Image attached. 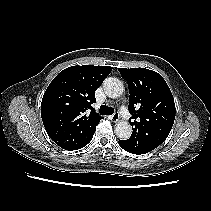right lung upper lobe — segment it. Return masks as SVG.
<instances>
[{
  "instance_id": "right-lung-upper-lobe-1",
  "label": "right lung upper lobe",
  "mask_w": 211,
  "mask_h": 211,
  "mask_svg": "<svg viewBox=\"0 0 211 211\" xmlns=\"http://www.w3.org/2000/svg\"><path fill=\"white\" fill-rule=\"evenodd\" d=\"M108 66H72L49 84L41 103V117L49 137L65 150L88 144L103 117L91 105L95 91L110 74Z\"/></svg>"
}]
</instances>
